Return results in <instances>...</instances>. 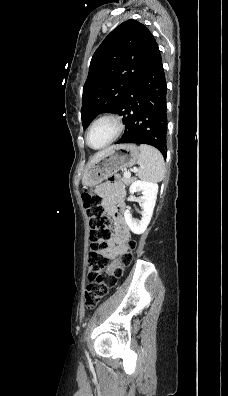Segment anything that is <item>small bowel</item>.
Segmentation results:
<instances>
[{"mask_svg": "<svg viewBox=\"0 0 228 396\" xmlns=\"http://www.w3.org/2000/svg\"><path fill=\"white\" fill-rule=\"evenodd\" d=\"M98 193L104 198L105 206L112 211L116 229V245L112 240L107 242L108 248L105 254L111 258L125 250L124 242L129 237V230L123 217L122 199L124 188L119 183L118 178H110L108 183L97 186Z\"/></svg>", "mask_w": 228, "mask_h": 396, "instance_id": "1", "label": "small bowel"}]
</instances>
